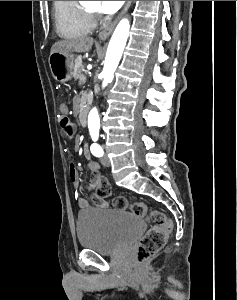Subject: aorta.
Instances as JSON below:
<instances>
[{
	"instance_id": "obj_1",
	"label": "aorta",
	"mask_w": 237,
	"mask_h": 300,
	"mask_svg": "<svg viewBox=\"0 0 237 300\" xmlns=\"http://www.w3.org/2000/svg\"><path fill=\"white\" fill-rule=\"evenodd\" d=\"M129 31V19H122L111 37L105 57L103 71L101 73V77H103V89L104 87H107L108 83H111L114 77V73L126 47ZM88 129L89 131H92V129H100V117L96 107L91 109L88 115Z\"/></svg>"
}]
</instances>
